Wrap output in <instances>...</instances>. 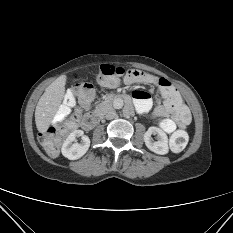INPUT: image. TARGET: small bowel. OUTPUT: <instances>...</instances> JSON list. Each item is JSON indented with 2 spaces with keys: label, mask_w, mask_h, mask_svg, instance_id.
<instances>
[{
  "label": "small bowel",
  "mask_w": 233,
  "mask_h": 233,
  "mask_svg": "<svg viewBox=\"0 0 233 233\" xmlns=\"http://www.w3.org/2000/svg\"><path fill=\"white\" fill-rule=\"evenodd\" d=\"M159 77L143 73L141 76L134 80L125 79V84L135 83H151L157 86V98L154 109L151 113V118L159 121L161 129L170 134L173 133L177 128H185L191 120L190 112L184 105L183 100L178 92V102L173 105L171 101L163 94L161 88L158 85ZM135 99L136 109L140 113H146L153 107V100L151 96L144 91H135L133 93ZM92 97L88 100L81 102V107L84 110L90 108ZM176 114H179L176 117Z\"/></svg>",
  "instance_id": "small-bowel-1"
}]
</instances>
